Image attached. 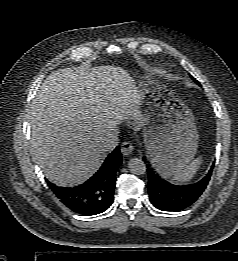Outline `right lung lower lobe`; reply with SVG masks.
<instances>
[{"label": "right lung lower lobe", "mask_w": 238, "mask_h": 261, "mask_svg": "<svg viewBox=\"0 0 238 261\" xmlns=\"http://www.w3.org/2000/svg\"><path fill=\"white\" fill-rule=\"evenodd\" d=\"M122 162L120 148L106 158L101 168L85 183L73 187L48 185L60 201L72 211L88 216L107 210L114 200L116 171Z\"/></svg>", "instance_id": "obj_1"}]
</instances>
